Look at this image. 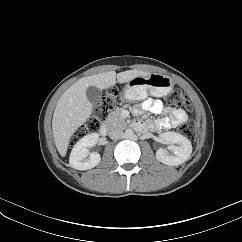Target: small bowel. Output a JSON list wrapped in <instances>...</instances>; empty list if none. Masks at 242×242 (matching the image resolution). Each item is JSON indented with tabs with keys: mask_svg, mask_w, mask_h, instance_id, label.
Instances as JSON below:
<instances>
[{
	"mask_svg": "<svg viewBox=\"0 0 242 242\" xmlns=\"http://www.w3.org/2000/svg\"><path fill=\"white\" fill-rule=\"evenodd\" d=\"M144 111L154 114H163V117L150 122L149 125H147L144 121H136L134 123V128L141 132H145L148 129L160 131L176 128L183 124L188 118L187 114L183 110L165 107L162 101L158 99H147L140 107L135 108L134 110L137 115H140Z\"/></svg>",
	"mask_w": 242,
	"mask_h": 242,
	"instance_id": "small-bowel-1",
	"label": "small bowel"
}]
</instances>
